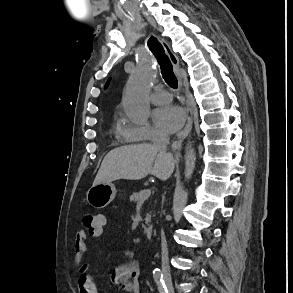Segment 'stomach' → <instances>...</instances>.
<instances>
[{"label": "stomach", "mask_w": 293, "mask_h": 293, "mask_svg": "<svg viewBox=\"0 0 293 293\" xmlns=\"http://www.w3.org/2000/svg\"><path fill=\"white\" fill-rule=\"evenodd\" d=\"M115 194L116 188L112 183H100L88 190L87 201L94 208L101 209L113 201Z\"/></svg>", "instance_id": "0dacf381"}]
</instances>
